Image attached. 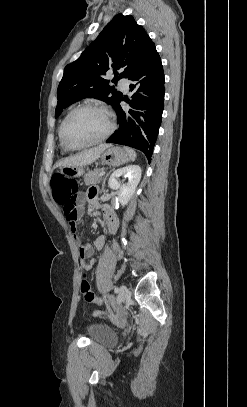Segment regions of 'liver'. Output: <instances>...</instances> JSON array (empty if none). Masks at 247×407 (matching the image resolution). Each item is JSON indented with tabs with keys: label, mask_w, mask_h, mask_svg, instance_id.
Segmentation results:
<instances>
[{
	"label": "liver",
	"mask_w": 247,
	"mask_h": 407,
	"mask_svg": "<svg viewBox=\"0 0 247 407\" xmlns=\"http://www.w3.org/2000/svg\"><path fill=\"white\" fill-rule=\"evenodd\" d=\"M110 145L107 144H101L97 147L85 150L81 153H78L76 155L70 156L68 158H65L61 161H59L56 166L57 167H77V166H85L93 163L96 161L102 152L109 147Z\"/></svg>",
	"instance_id": "liver-1"
}]
</instances>
